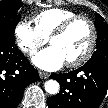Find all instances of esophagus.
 Here are the masks:
<instances>
[{"label":"esophagus","mask_w":108,"mask_h":108,"mask_svg":"<svg viewBox=\"0 0 108 108\" xmlns=\"http://www.w3.org/2000/svg\"><path fill=\"white\" fill-rule=\"evenodd\" d=\"M39 75L41 79H47L49 77V73L43 71H40Z\"/></svg>","instance_id":"obj_1"}]
</instances>
